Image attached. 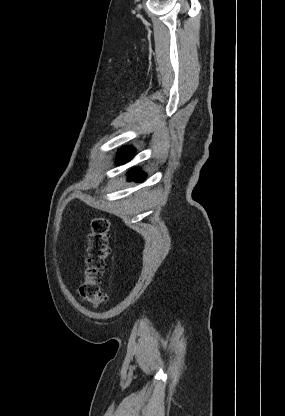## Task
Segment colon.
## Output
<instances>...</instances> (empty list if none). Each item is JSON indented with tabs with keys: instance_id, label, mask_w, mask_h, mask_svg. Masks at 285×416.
<instances>
[{
	"instance_id": "obj_1",
	"label": "colon",
	"mask_w": 285,
	"mask_h": 416,
	"mask_svg": "<svg viewBox=\"0 0 285 416\" xmlns=\"http://www.w3.org/2000/svg\"><path fill=\"white\" fill-rule=\"evenodd\" d=\"M109 239V220L95 218L88 235L84 281L79 289L80 296L93 306H99L107 300L101 288V276L109 255Z\"/></svg>"
}]
</instances>
